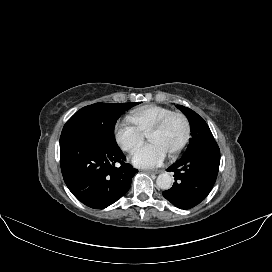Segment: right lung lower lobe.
I'll use <instances>...</instances> for the list:
<instances>
[{
  "label": "right lung lower lobe",
  "mask_w": 272,
  "mask_h": 272,
  "mask_svg": "<svg viewBox=\"0 0 272 272\" xmlns=\"http://www.w3.org/2000/svg\"><path fill=\"white\" fill-rule=\"evenodd\" d=\"M124 160L118 145L95 134L82 130L61 133L60 165L64 181L71 193L88 207L104 209L129 190L131 178L138 170Z\"/></svg>",
  "instance_id": "98d812e1"
}]
</instances>
